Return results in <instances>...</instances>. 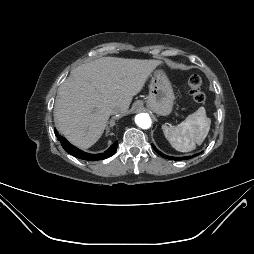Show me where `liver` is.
Instances as JSON below:
<instances>
[{"label": "liver", "mask_w": 254, "mask_h": 254, "mask_svg": "<svg viewBox=\"0 0 254 254\" xmlns=\"http://www.w3.org/2000/svg\"><path fill=\"white\" fill-rule=\"evenodd\" d=\"M158 65V60L102 57L76 67L58 89L56 127L75 146L91 147L103 134L111 109L126 114Z\"/></svg>", "instance_id": "liver-1"}]
</instances>
